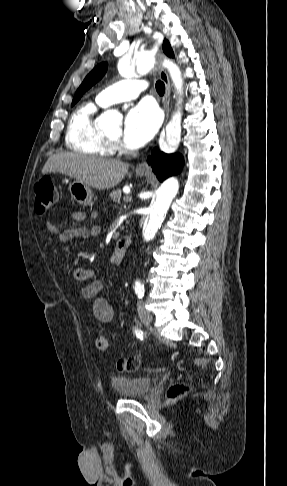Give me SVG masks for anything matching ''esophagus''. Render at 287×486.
Segmentation results:
<instances>
[{"label": "esophagus", "instance_id": "1", "mask_svg": "<svg viewBox=\"0 0 287 486\" xmlns=\"http://www.w3.org/2000/svg\"><path fill=\"white\" fill-rule=\"evenodd\" d=\"M160 78L162 79L164 85H165V95L163 97L162 103L165 111V123L167 122L170 114V109H169V104H170V92H171V85H170V80L167 72L164 69H161L159 71ZM150 170V167L148 163L143 160L142 162L138 163L136 165V171L138 172H148Z\"/></svg>", "mask_w": 287, "mask_h": 486}]
</instances>
